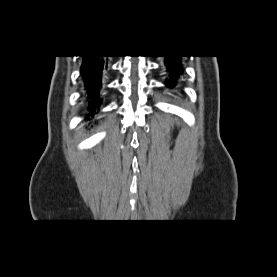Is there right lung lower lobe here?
Masks as SVG:
<instances>
[{"instance_id":"obj_1","label":"right lung lower lobe","mask_w":277,"mask_h":277,"mask_svg":"<svg viewBox=\"0 0 277 277\" xmlns=\"http://www.w3.org/2000/svg\"><path fill=\"white\" fill-rule=\"evenodd\" d=\"M108 63L102 56H84L81 74L85 82L89 99V108L92 112L99 106L102 100L99 99V89L101 87L102 71L107 70ZM94 114V113H93Z\"/></svg>"}]
</instances>
